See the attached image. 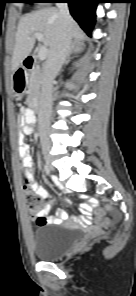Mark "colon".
<instances>
[{
  "mask_svg": "<svg viewBox=\"0 0 136 296\" xmlns=\"http://www.w3.org/2000/svg\"><path fill=\"white\" fill-rule=\"evenodd\" d=\"M25 205L28 213L37 225H43L46 221L44 216H40L39 212L42 210V202L37 195H35L29 185L24 186Z\"/></svg>",
  "mask_w": 136,
  "mask_h": 296,
  "instance_id": "colon-1",
  "label": "colon"
}]
</instances>
